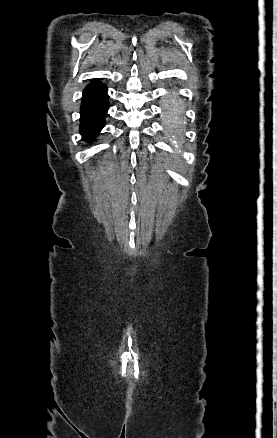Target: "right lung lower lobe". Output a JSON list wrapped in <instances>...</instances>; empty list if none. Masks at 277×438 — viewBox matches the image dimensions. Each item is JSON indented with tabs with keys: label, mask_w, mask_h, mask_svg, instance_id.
<instances>
[{
	"label": "right lung lower lobe",
	"mask_w": 277,
	"mask_h": 438,
	"mask_svg": "<svg viewBox=\"0 0 277 438\" xmlns=\"http://www.w3.org/2000/svg\"><path fill=\"white\" fill-rule=\"evenodd\" d=\"M107 88L94 80L84 89L80 131L84 140H93L103 128L108 110Z\"/></svg>",
	"instance_id": "1"
}]
</instances>
